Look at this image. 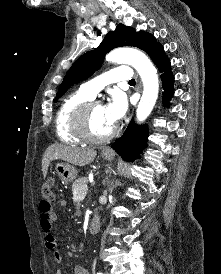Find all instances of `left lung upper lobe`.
I'll return each mask as SVG.
<instances>
[{"mask_svg": "<svg viewBox=\"0 0 221 274\" xmlns=\"http://www.w3.org/2000/svg\"><path fill=\"white\" fill-rule=\"evenodd\" d=\"M133 46L150 54L161 44L155 37L144 31L136 32L132 27L119 24L115 31H110L101 44L94 50L82 55L69 69L57 92L55 101L60 98L73 84L87 79L101 67L106 53L116 47Z\"/></svg>", "mask_w": 221, "mask_h": 274, "instance_id": "obj_1", "label": "left lung upper lobe"}]
</instances>
